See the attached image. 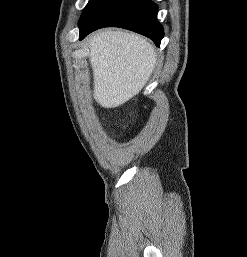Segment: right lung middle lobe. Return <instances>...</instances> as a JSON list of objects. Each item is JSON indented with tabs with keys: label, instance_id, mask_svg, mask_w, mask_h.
Returning a JSON list of instances; mask_svg holds the SVG:
<instances>
[{
	"label": "right lung middle lobe",
	"instance_id": "obj_1",
	"mask_svg": "<svg viewBox=\"0 0 247 257\" xmlns=\"http://www.w3.org/2000/svg\"><path fill=\"white\" fill-rule=\"evenodd\" d=\"M96 0H89L87 6L85 7L80 20L86 15V13L88 12V10L90 9V7L92 6V4L95 2Z\"/></svg>",
	"mask_w": 247,
	"mask_h": 257
}]
</instances>
